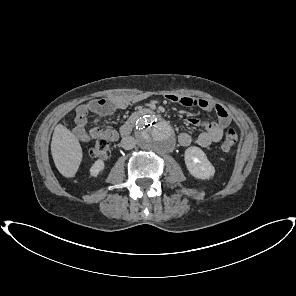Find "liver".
Masks as SVG:
<instances>
[{
	"label": "liver",
	"mask_w": 296,
	"mask_h": 296,
	"mask_svg": "<svg viewBox=\"0 0 296 296\" xmlns=\"http://www.w3.org/2000/svg\"><path fill=\"white\" fill-rule=\"evenodd\" d=\"M51 153L56 168L64 177L76 174L82 161V148L78 139L62 124L54 129Z\"/></svg>",
	"instance_id": "obj_1"
}]
</instances>
